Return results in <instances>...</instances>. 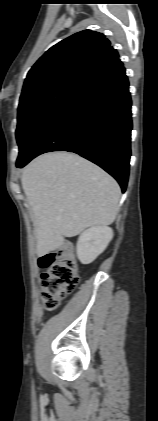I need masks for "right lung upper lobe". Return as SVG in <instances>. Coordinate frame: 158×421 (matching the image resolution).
Segmentation results:
<instances>
[{
	"label": "right lung upper lobe",
	"mask_w": 158,
	"mask_h": 421,
	"mask_svg": "<svg viewBox=\"0 0 158 421\" xmlns=\"http://www.w3.org/2000/svg\"><path fill=\"white\" fill-rule=\"evenodd\" d=\"M117 59V51L103 34L91 30L73 34L51 47L34 64L20 98L58 83L84 84Z\"/></svg>",
	"instance_id": "1"
}]
</instances>
